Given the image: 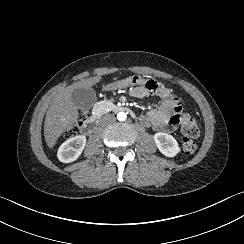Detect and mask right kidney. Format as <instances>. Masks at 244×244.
<instances>
[{
  "label": "right kidney",
  "mask_w": 244,
  "mask_h": 244,
  "mask_svg": "<svg viewBox=\"0 0 244 244\" xmlns=\"http://www.w3.org/2000/svg\"><path fill=\"white\" fill-rule=\"evenodd\" d=\"M86 136L78 135L64 141L57 151L60 162L68 164L76 161L82 154L86 145Z\"/></svg>",
  "instance_id": "1"
}]
</instances>
